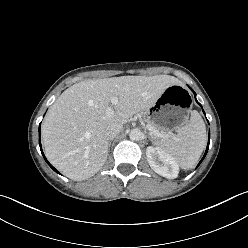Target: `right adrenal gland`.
I'll return each instance as SVG.
<instances>
[{"label": "right adrenal gland", "mask_w": 248, "mask_h": 248, "mask_svg": "<svg viewBox=\"0 0 248 248\" xmlns=\"http://www.w3.org/2000/svg\"><path fill=\"white\" fill-rule=\"evenodd\" d=\"M110 145H111V141L109 142V147H110Z\"/></svg>", "instance_id": "1"}]
</instances>
